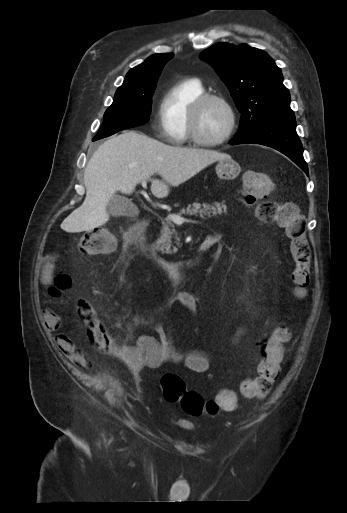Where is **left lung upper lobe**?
<instances>
[{
    "mask_svg": "<svg viewBox=\"0 0 347 513\" xmlns=\"http://www.w3.org/2000/svg\"><path fill=\"white\" fill-rule=\"evenodd\" d=\"M200 57L214 67L242 114L235 137L270 121L295 120L281 70L263 50L217 43Z\"/></svg>",
    "mask_w": 347,
    "mask_h": 513,
    "instance_id": "5c2ea615",
    "label": "left lung upper lobe"
}]
</instances>
